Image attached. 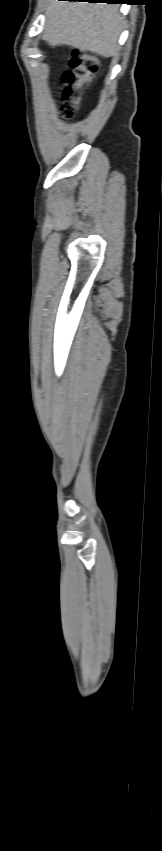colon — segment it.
<instances>
[{
    "instance_id": "1",
    "label": "colon",
    "mask_w": 162,
    "mask_h": 851,
    "mask_svg": "<svg viewBox=\"0 0 162 851\" xmlns=\"http://www.w3.org/2000/svg\"><path fill=\"white\" fill-rule=\"evenodd\" d=\"M97 69L98 60L95 56L81 51H74L72 53L70 67L63 74L64 96L69 99L62 110L65 118L71 119L74 117L80 92L83 86L94 76Z\"/></svg>"
}]
</instances>
